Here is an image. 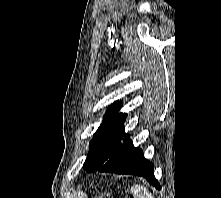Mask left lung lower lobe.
<instances>
[{
  "mask_svg": "<svg viewBox=\"0 0 221 198\" xmlns=\"http://www.w3.org/2000/svg\"><path fill=\"white\" fill-rule=\"evenodd\" d=\"M99 171L143 176L160 189L154 176V165L144 158L143 151L134 147L130 139L113 153Z\"/></svg>",
  "mask_w": 221,
  "mask_h": 198,
  "instance_id": "1",
  "label": "left lung lower lobe"
}]
</instances>
